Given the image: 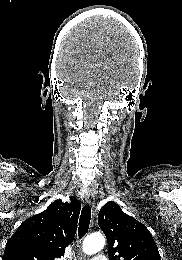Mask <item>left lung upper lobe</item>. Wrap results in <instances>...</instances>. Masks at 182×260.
<instances>
[{
  "label": "left lung upper lobe",
  "mask_w": 182,
  "mask_h": 260,
  "mask_svg": "<svg viewBox=\"0 0 182 260\" xmlns=\"http://www.w3.org/2000/svg\"><path fill=\"white\" fill-rule=\"evenodd\" d=\"M98 224L107 237L110 260H161L150 231L116 203L101 208Z\"/></svg>",
  "instance_id": "5c2ea615"
}]
</instances>
